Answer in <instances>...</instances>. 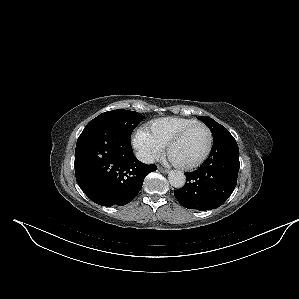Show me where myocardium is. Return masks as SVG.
I'll list each match as a JSON object with an SVG mask.
<instances>
[{"label":"myocardium","mask_w":299,"mask_h":299,"mask_svg":"<svg viewBox=\"0 0 299 299\" xmlns=\"http://www.w3.org/2000/svg\"><path fill=\"white\" fill-rule=\"evenodd\" d=\"M198 126L204 127L208 132V144H207L206 150L204 151L202 156L199 159H197L195 162L188 163V164H183V163L176 162L175 164L178 167L182 168V169L191 170V169L199 167L200 165H202L206 161V159L208 158V156H209V154L212 150V147H213V133H212V130L205 123L195 122V123L185 127L184 129L180 130L166 144V150H167L168 154L170 155V151H171L172 147L174 145H176L177 143H179L185 137V135L188 132H190L193 128L198 127Z\"/></svg>","instance_id":"1"}]
</instances>
